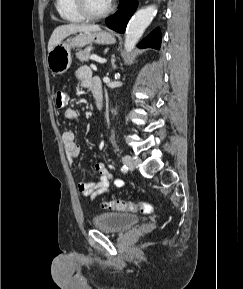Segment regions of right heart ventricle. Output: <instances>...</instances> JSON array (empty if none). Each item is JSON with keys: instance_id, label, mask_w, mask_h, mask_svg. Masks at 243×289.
Wrapping results in <instances>:
<instances>
[{"instance_id": "right-heart-ventricle-1", "label": "right heart ventricle", "mask_w": 243, "mask_h": 289, "mask_svg": "<svg viewBox=\"0 0 243 289\" xmlns=\"http://www.w3.org/2000/svg\"><path fill=\"white\" fill-rule=\"evenodd\" d=\"M55 7L60 17L68 22H82L84 17L76 8L75 0H56Z\"/></svg>"}]
</instances>
